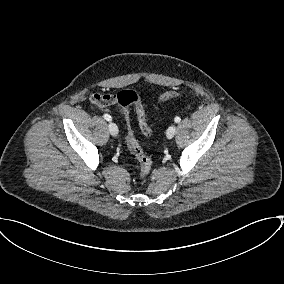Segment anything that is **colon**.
Wrapping results in <instances>:
<instances>
[{"label":"colon","instance_id":"1","mask_svg":"<svg viewBox=\"0 0 284 284\" xmlns=\"http://www.w3.org/2000/svg\"><path fill=\"white\" fill-rule=\"evenodd\" d=\"M180 94L181 92L176 90L165 92L163 95H161L160 102H166L174 97H177ZM117 97H118V106L120 108V113L123 116L127 126V133H126L127 147L131 152V154L135 157V159L139 163L140 176L145 177L151 171L152 161L144 153L141 146L134 137L133 131L129 123V106L131 105L135 106V111L141 132L145 136L151 137L153 134L152 129L148 125L145 109L136 91L132 89L123 90L117 94Z\"/></svg>","mask_w":284,"mask_h":284}]
</instances>
